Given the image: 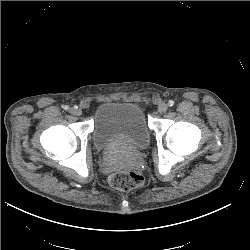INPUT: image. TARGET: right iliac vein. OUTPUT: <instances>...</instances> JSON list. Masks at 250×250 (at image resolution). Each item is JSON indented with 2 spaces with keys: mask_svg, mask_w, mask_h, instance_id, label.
<instances>
[{
  "mask_svg": "<svg viewBox=\"0 0 250 250\" xmlns=\"http://www.w3.org/2000/svg\"><path fill=\"white\" fill-rule=\"evenodd\" d=\"M70 113L75 116L82 115V110L80 108H71Z\"/></svg>",
  "mask_w": 250,
  "mask_h": 250,
  "instance_id": "1",
  "label": "right iliac vein"
}]
</instances>
